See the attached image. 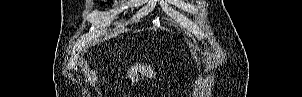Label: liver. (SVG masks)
Listing matches in <instances>:
<instances>
[{
  "instance_id": "1",
  "label": "liver",
  "mask_w": 302,
  "mask_h": 97,
  "mask_svg": "<svg viewBox=\"0 0 302 97\" xmlns=\"http://www.w3.org/2000/svg\"><path fill=\"white\" fill-rule=\"evenodd\" d=\"M137 68H138L137 65L131 67V69H129V71H128V75H129L130 77H133V76L135 75V71L137 70Z\"/></svg>"
}]
</instances>
